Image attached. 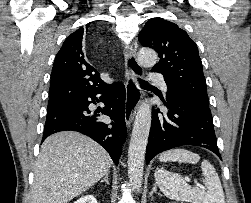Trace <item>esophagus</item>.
<instances>
[{
	"instance_id": "1",
	"label": "esophagus",
	"mask_w": 251,
	"mask_h": 203,
	"mask_svg": "<svg viewBox=\"0 0 251 203\" xmlns=\"http://www.w3.org/2000/svg\"><path fill=\"white\" fill-rule=\"evenodd\" d=\"M137 48L138 44L135 40L126 55L125 122L127 127H130L142 98V90L137 79L144 76V69L137 60Z\"/></svg>"
}]
</instances>
